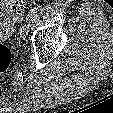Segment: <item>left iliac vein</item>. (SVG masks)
I'll use <instances>...</instances> for the list:
<instances>
[{"mask_svg":"<svg viewBox=\"0 0 113 113\" xmlns=\"http://www.w3.org/2000/svg\"><path fill=\"white\" fill-rule=\"evenodd\" d=\"M29 32V25L27 23H24L21 25L19 30L20 38L25 39Z\"/></svg>","mask_w":113,"mask_h":113,"instance_id":"obj_1","label":"left iliac vein"}]
</instances>
